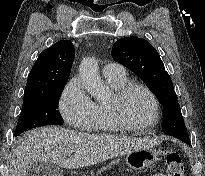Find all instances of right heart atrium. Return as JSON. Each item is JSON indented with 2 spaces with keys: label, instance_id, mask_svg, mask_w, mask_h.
I'll list each match as a JSON object with an SVG mask.
<instances>
[{
  "label": "right heart atrium",
  "instance_id": "1",
  "mask_svg": "<svg viewBox=\"0 0 205 176\" xmlns=\"http://www.w3.org/2000/svg\"><path fill=\"white\" fill-rule=\"evenodd\" d=\"M58 108L64 120L76 130L90 128L96 115V105L84 90L79 77L66 84Z\"/></svg>",
  "mask_w": 205,
  "mask_h": 176
}]
</instances>
